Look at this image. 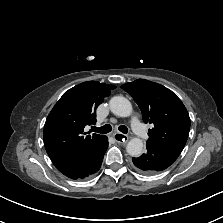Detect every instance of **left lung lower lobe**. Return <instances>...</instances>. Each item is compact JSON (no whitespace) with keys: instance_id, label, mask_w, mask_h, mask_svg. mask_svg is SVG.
Instances as JSON below:
<instances>
[{"instance_id":"0a47b994","label":"left lung lower lobe","mask_w":223,"mask_h":223,"mask_svg":"<svg viewBox=\"0 0 223 223\" xmlns=\"http://www.w3.org/2000/svg\"><path fill=\"white\" fill-rule=\"evenodd\" d=\"M146 147L147 151L132 161L137 171L147 175L166 169L180 155V152L162 145L147 143Z\"/></svg>"}]
</instances>
